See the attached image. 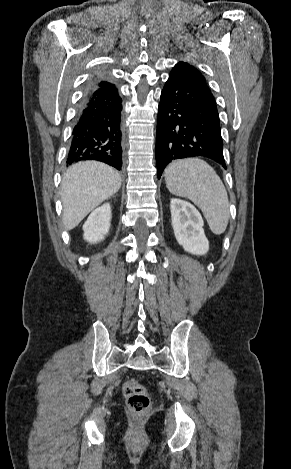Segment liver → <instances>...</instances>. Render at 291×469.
I'll return each instance as SVG.
<instances>
[{
    "mask_svg": "<svg viewBox=\"0 0 291 469\" xmlns=\"http://www.w3.org/2000/svg\"><path fill=\"white\" fill-rule=\"evenodd\" d=\"M120 186L119 173L106 164L86 161L71 166L63 175L61 184L65 229L75 228Z\"/></svg>",
    "mask_w": 291,
    "mask_h": 469,
    "instance_id": "1",
    "label": "liver"
}]
</instances>
